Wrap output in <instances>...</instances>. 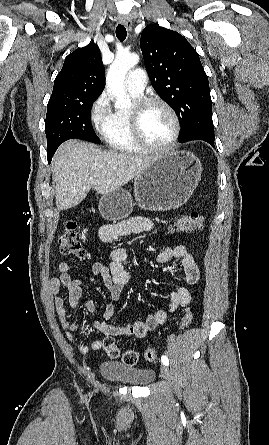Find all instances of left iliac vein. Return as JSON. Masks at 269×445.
<instances>
[{"mask_svg": "<svg viewBox=\"0 0 269 445\" xmlns=\"http://www.w3.org/2000/svg\"><path fill=\"white\" fill-rule=\"evenodd\" d=\"M161 375H162V377H163L165 380H167V381L170 380V371H169V368H168L166 365H163V366L161 367Z\"/></svg>", "mask_w": 269, "mask_h": 445, "instance_id": "1", "label": "left iliac vein"}]
</instances>
